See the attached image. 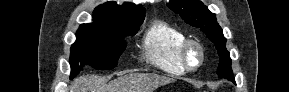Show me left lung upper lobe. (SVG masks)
Returning a JSON list of instances; mask_svg holds the SVG:
<instances>
[{"label":"left lung upper lobe","instance_id":"obj_1","mask_svg":"<svg viewBox=\"0 0 289 92\" xmlns=\"http://www.w3.org/2000/svg\"><path fill=\"white\" fill-rule=\"evenodd\" d=\"M167 6L179 14L186 23L200 28L207 35L214 43L220 56V63L217 69L218 76L234 81L231 58L225 46L226 38L217 23L215 14L210 12L207 6L199 0H170Z\"/></svg>","mask_w":289,"mask_h":92}]
</instances>
